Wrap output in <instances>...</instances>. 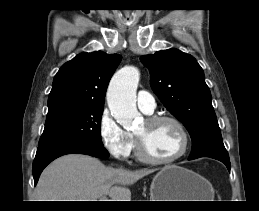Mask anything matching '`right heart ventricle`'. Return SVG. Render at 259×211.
Instances as JSON below:
<instances>
[{"instance_id": "obj_1", "label": "right heart ventricle", "mask_w": 259, "mask_h": 211, "mask_svg": "<svg viewBox=\"0 0 259 211\" xmlns=\"http://www.w3.org/2000/svg\"><path fill=\"white\" fill-rule=\"evenodd\" d=\"M133 148H135V142H134V140H133ZM133 148H132V149H133Z\"/></svg>"}]
</instances>
